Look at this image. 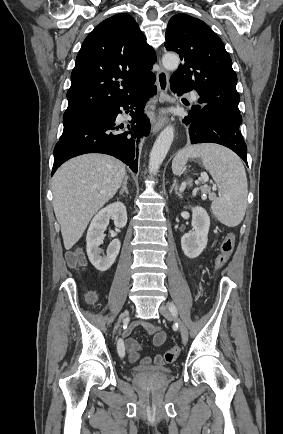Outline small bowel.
I'll return each instance as SVG.
<instances>
[{
	"label": "small bowel",
	"instance_id": "small-bowel-1",
	"mask_svg": "<svg viewBox=\"0 0 283 434\" xmlns=\"http://www.w3.org/2000/svg\"><path fill=\"white\" fill-rule=\"evenodd\" d=\"M137 326L144 327L147 333L152 336L153 345L155 347H161L166 340L165 332L162 331L159 327L144 321H136L132 323L123 333L124 337L126 338L124 343V349L126 350L127 358L131 363H136L139 359L140 344L136 339L129 337L131 332ZM141 363L143 366L154 365L159 367L163 365L164 360L162 358V355L156 354L153 358L144 357Z\"/></svg>",
	"mask_w": 283,
	"mask_h": 434
}]
</instances>
